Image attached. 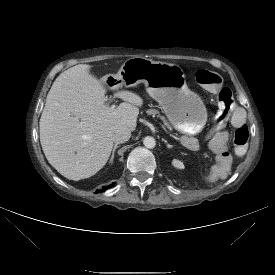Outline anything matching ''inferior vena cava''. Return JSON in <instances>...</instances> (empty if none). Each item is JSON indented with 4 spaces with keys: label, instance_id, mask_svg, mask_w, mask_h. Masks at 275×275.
I'll use <instances>...</instances> for the list:
<instances>
[{
    "label": "inferior vena cava",
    "instance_id": "obj_1",
    "mask_svg": "<svg viewBox=\"0 0 275 275\" xmlns=\"http://www.w3.org/2000/svg\"><path fill=\"white\" fill-rule=\"evenodd\" d=\"M131 137V131L128 128H119L113 134V141L117 144L125 143Z\"/></svg>",
    "mask_w": 275,
    "mask_h": 275
}]
</instances>
